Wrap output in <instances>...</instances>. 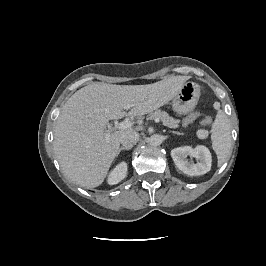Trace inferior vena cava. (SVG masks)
<instances>
[{
  "label": "inferior vena cava",
  "instance_id": "obj_1",
  "mask_svg": "<svg viewBox=\"0 0 266 266\" xmlns=\"http://www.w3.org/2000/svg\"><path fill=\"white\" fill-rule=\"evenodd\" d=\"M139 140V133L135 131H129L124 133L120 138V143L123 147L131 149Z\"/></svg>",
  "mask_w": 266,
  "mask_h": 266
}]
</instances>
